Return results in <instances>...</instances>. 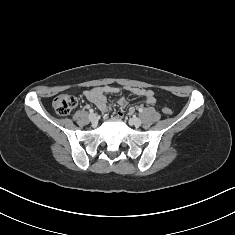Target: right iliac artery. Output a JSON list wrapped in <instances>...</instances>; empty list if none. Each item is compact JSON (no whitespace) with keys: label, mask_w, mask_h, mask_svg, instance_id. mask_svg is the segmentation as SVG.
Segmentation results:
<instances>
[{"label":"right iliac artery","mask_w":235,"mask_h":235,"mask_svg":"<svg viewBox=\"0 0 235 235\" xmlns=\"http://www.w3.org/2000/svg\"><path fill=\"white\" fill-rule=\"evenodd\" d=\"M89 112L92 114V113L94 112V110H93V109H90Z\"/></svg>","instance_id":"1"}]
</instances>
